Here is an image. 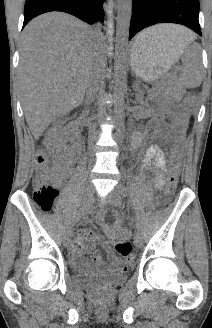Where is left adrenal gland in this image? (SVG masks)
Returning <instances> with one entry per match:
<instances>
[{
  "label": "left adrenal gland",
  "instance_id": "obj_1",
  "mask_svg": "<svg viewBox=\"0 0 212 328\" xmlns=\"http://www.w3.org/2000/svg\"><path fill=\"white\" fill-rule=\"evenodd\" d=\"M134 89H135V91H137L138 93L136 94V101H138L139 102V100H140V95H139V91H140V89H139V85H138V82L136 81L135 82V84H134Z\"/></svg>",
  "mask_w": 212,
  "mask_h": 328
}]
</instances>
